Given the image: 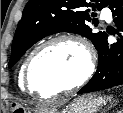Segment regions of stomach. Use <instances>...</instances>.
<instances>
[{"instance_id": "0dacf381", "label": "stomach", "mask_w": 123, "mask_h": 113, "mask_svg": "<svg viewBox=\"0 0 123 113\" xmlns=\"http://www.w3.org/2000/svg\"><path fill=\"white\" fill-rule=\"evenodd\" d=\"M105 99L101 96L94 94L83 95L72 100L64 109V112L51 107L48 109L41 110L38 113H97V111L104 105ZM13 110L21 109L22 112L26 113L30 111L27 107L20 103H13Z\"/></svg>"}]
</instances>
